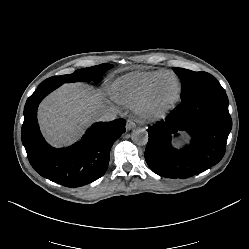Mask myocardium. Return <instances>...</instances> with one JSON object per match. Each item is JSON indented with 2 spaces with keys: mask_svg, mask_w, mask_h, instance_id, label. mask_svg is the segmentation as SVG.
<instances>
[{
  "mask_svg": "<svg viewBox=\"0 0 249 249\" xmlns=\"http://www.w3.org/2000/svg\"><path fill=\"white\" fill-rule=\"evenodd\" d=\"M173 77L177 80L178 90L176 97L169 103L153 108L151 106V99L154 94L156 87L165 79ZM183 94L182 81L178 75L172 72L165 73L156 79H154L140 97L135 101L133 111L136 117L145 122L158 121L165 119L179 104Z\"/></svg>",
  "mask_w": 249,
  "mask_h": 249,
  "instance_id": "myocardium-1",
  "label": "myocardium"
}]
</instances>
